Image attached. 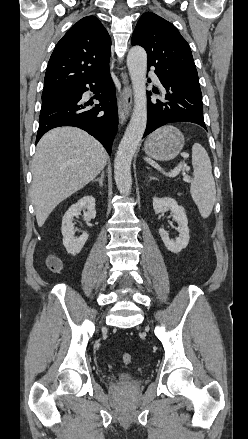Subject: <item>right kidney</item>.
Masks as SVG:
<instances>
[{"label":"right kidney","instance_id":"right-kidney-1","mask_svg":"<svg viewBox=\"0 0 248 439\" xmlns=\"http://www.w3.org/2000/svg\"><path fill=\"white\" fill-rule=\"evenodd\" d=\"M81 211H83L84 220L87 222L96 217L95 198L93 196H84L79 199L67 210L62 218L63 245L67 252L73 256L82 250L88 239V234L85 232L78 238L74 236L73 217L80 215Z\"/></svg>","mask_w":248,"mask_h":439}]
</instances>
